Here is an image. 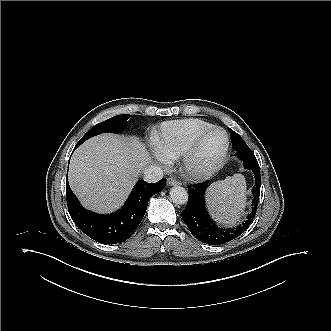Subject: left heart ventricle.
I'll use <instances>...</instances> for the list:
<instances>
[{"label": "left heart ventricle", "mask_w": 331, "mask_h": 331, "mask_svg": "<svg viewBox=\"0 0 331 331\" xmlns=\"http://www.w3.org/2000/svg\"><path fill=\"white\" fill-rule=\"evenodd\" d=\"M225 138L221 132H214L209 135L201 145L198 152V161L200 164L214 161L224 147Z\"/></svg>", "instance_id": "left-heart-ventricle-1"}]
</instances>
